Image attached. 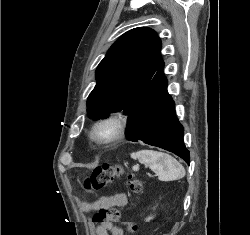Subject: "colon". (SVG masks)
Listing matches in <instances>:
<instances>
[{
	"label": "colon",
	"mask_w": 250,
	"mask_h": 235,
	"mask_svg": "<svg viewBox=\"0 0 250 235\" xmlns=\"http://www.w3.org/2000/svg\"><path fill=\"white\" fill-rule=\"evenodd\" d=\"M124 174V169L120 165H102L95 168L82 182L84 189L88 191H100L108 187L115 179ZM143 187V182L133 175L129 176V188L133 193H138ZM121 212L116 208H101L93 217V221L101 224H114L120 220ZM131 233L136 232L135 224H128Z\"/></svg>",
	"instance_id": "colon-1"
}]
</instances>
